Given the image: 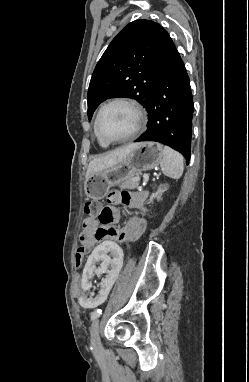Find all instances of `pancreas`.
<instances>
[{"mask_svg": "<svg viewBox=\"0 0 249 382\" xmlns=\"http://www.w3.org/2000/svg\"><path fill=\"white\" fill-rule=\"evenodd\" d=\"M139 187V181L134 180L133 176L127 177L121 182V189H137Z\"/></svg>", "mask_w": 249, "mask_h": 382, "instance_id": "cf45deb5", "label": "pancreas"}]
</instances>
